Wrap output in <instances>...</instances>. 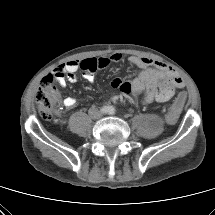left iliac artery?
Instances as JSON below:
<instances>
[{
    "label": "left iliac artery",
    "mask_w": 215,
    "mask_h": 215,
    "mask_svg": "<svg viewBox=\"0 0 215 215\" xmlns=\"http://www.w3.org/2000/svg\"><path fill=\"white\" fill-rule=\"evenodd\" d=\"M108 113L111 115L115 114V108L112 106L108 107Z\"/></svg>",
    "instance_id": "1"
}]
</instances>
